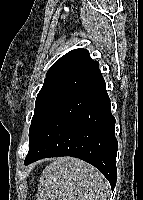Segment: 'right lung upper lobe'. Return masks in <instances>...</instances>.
I'll return each instance as SVG.
<instances>
[{
    "instance_id": "cb5924a9",
    "label": "right lung upper lobe",
    "mask_w": 143,
    "mask_h": 200,
    "mask_svg": "<svg viewBox=\"0 0 143 200\" xmlns=\"http://www.w3.org/2000/svg\"><path fill=\"white\" fill-rule=\"evenodd\" d=\"M95 63L86 49H74L63 55L46 74V79L61 78L65 79L75 72Z\"/></svg>"
}]
</instances>
